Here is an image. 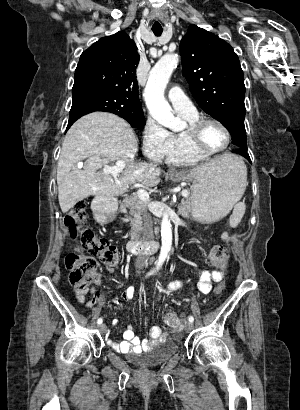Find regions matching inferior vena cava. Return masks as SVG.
Instances as JSON below:
<instances>
[{
	"mask_svg": "<svg viewBox=\"0 0 300 410\" xmlns=\"http://www.w3.org/2000/svg\"><path fill=\"white\" fill-rule=\"evenodd\" d=\"M143 220H144L145 226H147V230L145 231V234L149 235V236H152V231H151V228H150V223H151L150 214L144 213ZM149 241L153 242L154 238L150 237ZM146 242H148V241H146ZM148 260H149V257H147V256H138L137 259H136V262H135L136 268L143 269V267H146L148 265Z\"/></svg>",
	"mask_w": 300,
	"mask_h": 410,
	"instance_id": "1",
	"label": "inferior vena cava"
}]
</instances>
